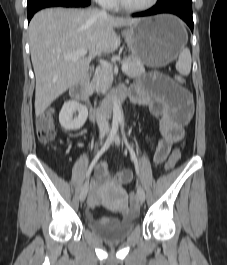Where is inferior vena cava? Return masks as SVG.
Masks as SVG:
<instances>
[{
    "label": "inferior vena cava",
    "instance_id": "inferior-vena-cava-1",
    "mask_svg": "<svg viewBox=\"0 0 227 265\" xmlns=\"http://www.w3.org/2000/svg\"><path fill=\"white\" fill-rule=\"evenodd\" d=\"M101 13L103 15H107L105 10H102ZM98 127L101 132H107L109 130V123L107 119L104 116H102V114L98 116Z\"/></svg>",
    "mask_w": 227,
    "mask_h": 265
}]
</instances>
